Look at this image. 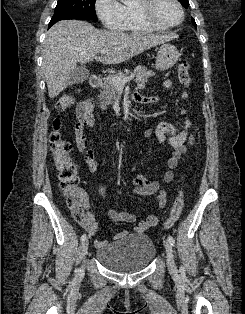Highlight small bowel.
Returning <instances> with one entry per match:
<instances>
[{
    "label": "small bowel",
    "mask_w": 245,
    "mask_h": 314,
    "mask_svg": "<svg viewBox=\"0 0 245 314\" xmlns=\"http://www.w3.org/2000/svg\"><path fill=\"white\" fill-rule=\"evenodd\" d=\"M163 88L170 89L173 86V82L170 79H166L162 83ZM141 89H146L147 84L142 82L140 84ZM159 99L158 96H142L137 95L136 100L140 103H153ZM77 123L75 125V141L78 150L83 154L87 168L91 172L98 170V163L95 159V153L89 146L87 137L85 134V128L94 125V105L90 100H84L76 106ZM192 127V119L189 116L185 117L184 127L182 130L176 129L165 122H159L154 128L147 129L145 131V137H156L161 143H166L172 148V153L166 161L167 170L159 178L149 179L145 175H137L132 180L133 191L139 195L149 196L156 195L155 204L159 208H163L166 203V192L163 190V186L171 182L174 177V170L178 165L182 155L187 150V144H193L195 136L189 133ZM101 196H105L106 188L101 185L98 189ZM83 204L88 207L89 202L86 195H83ZM105 217L119 223H134L136 222V216L132 213L109 209L105 212ZM87 231L90 235L94 234L97 230V217L93 213L87 215ZM159 219L156 215H148L143 220L139 221L134 231L137 234H142L152 227L156 226ZM128 231L124 230L114 236L115 239H119L128 235ZM106 244V241H95V245L101 246Z\"/></svg>",
    "instance_id": "1"
}]
</instances>
